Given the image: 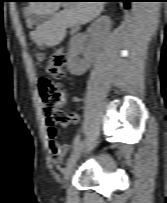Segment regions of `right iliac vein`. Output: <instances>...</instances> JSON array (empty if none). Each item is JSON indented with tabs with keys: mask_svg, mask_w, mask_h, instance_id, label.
<instances>
[{
	"mask_svg": "<svg viewBox=\"0 0 167 203\" xmlns=\"http://www.w3.org/2000/svg\"><path fill=\"white\" fill-rule=\"evenodd\" d=\"M83 150V143H80L74 150L73 154L69 158L68 164L66 166V169L64 171L63 175V182L66 183L70 177V174L74 170L77 160L79 159V156Z\"/></svg>",
	"mask_w": 167,
	"mask_h": 203,
	"instance_id": "right-iliac-vein-1",
	"label": "right iliac vein"
}]
</instances>
